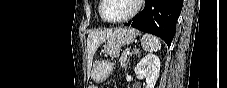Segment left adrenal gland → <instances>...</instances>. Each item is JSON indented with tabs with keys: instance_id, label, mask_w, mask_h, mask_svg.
I'll list each match as a JSON object with an SVG mask.
<instances>
[{
	"instance_id": "a2214340",
	"label": "left adrenal gland",
	"mask_w": 227,
	"mask_h": 88,
	"mask_svg": "<svg viewBox=\"0 0 227 88\" xmlns=\"http://www.w3.org/2000/svg\"><path fill=\"white\" fill-rule=\"evenodd\" d=\"M138 53H139V50L138 49H133L132 54L137 55ZM126 67L127 66H125V70H126Z\"/></svg>"
}]
</instances>
